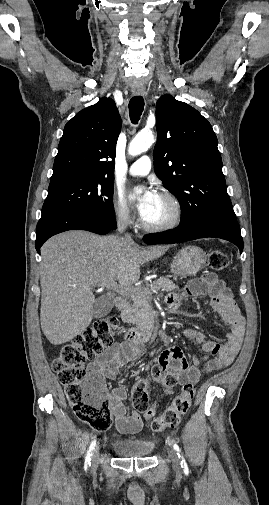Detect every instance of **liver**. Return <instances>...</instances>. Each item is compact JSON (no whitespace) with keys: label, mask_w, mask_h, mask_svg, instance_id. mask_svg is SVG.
Here are the masks:
<instances>
[{"label":"liver","mask_w":269,"mask_h":505,"mask_svg":"<svg viewBox=\"0 0 269 505\" xmlns=\"http://www.w3.org/2000/svg\"><path fill=\"white\" fill-rule=\"evenodd\" d=\"M167 246L142 248L116 235L81 230L50 238L41 248V328L54 345L72 340L93 319L95 287L119 282L131 286L140 266L159 258Z\"/></svg>","instance_id":"6515ba94"}]
</instances>
